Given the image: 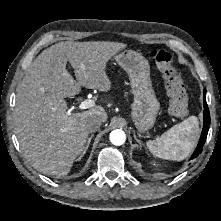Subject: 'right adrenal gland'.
<instances>
[{"label":"right adrenal gland","instance_id":"2a0ac1e0","mask_svg":"<svg viewBox=\"0 0 221 221\" xmlns=\"http://www.w3.org/2000/svg\"><path fill=\"white\" fill-rule=\"evenodd\" d=\"M93 137V134L88 138V142H87V145H86V148L84 150V152L82 153V155L76 159V160H81V158L85 155V153L87 152L88 148H89V145H90V142H91V139Z\"/></svg>","mask_w":221,"mask_h":221}]
</instances>
